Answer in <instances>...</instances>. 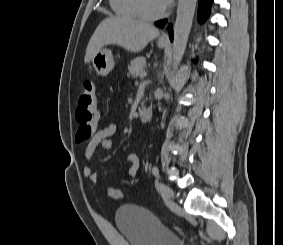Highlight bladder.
Here are the masks:
<instances>
[{"label":"bladder","mask_w":283,"mask_h":245,"mask_svg":"<svg viewBox=\"0 0 283 245\" xmlns=\"http://www.w3.org/2000/svg\"><path fill=\"white\" fill-rule=\"evenodd\" d=\"M115 223L129 245H183L177 234L150 210L138 205L120 206L115 212Z\"/></svg>","instance_id":"bladder-1"}]
</instances>
